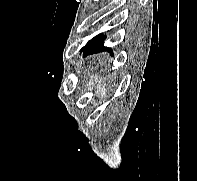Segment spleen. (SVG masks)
Here are the masks:
<instances>
[{"label":"spleen","mask_w":197,"mask_h":181,"mask_svg":"<svg viewBox=\"0 0 197 181\" xmlns=\"http://www.w3.org/2000/svg\"><path fill=\"white\" fill-rule=\"evenodd\" d=\"M88 90H91L93 87H97L96 96L101 97L106 95V83L102 82V77L98 74L90 76L89 82L87 84Z\"/></svg>","instance_id":"3e777b00"}]
</instances>
